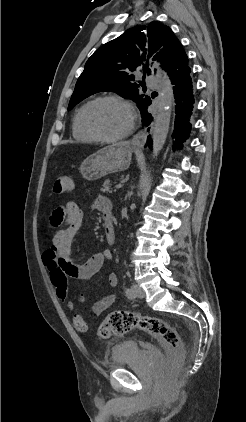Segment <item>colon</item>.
<instances>
[{"mask_svg":"<svg viewBox=\"0 0 246 422\" xmlns=\"http://www.w3.org/2000/svg\"><path fill=\"white\" fill-rule=\"evenodd\" d=\"M73 188V180L69 174L63 173L56 177L53 184V191L57 194L68 193ZM51 282L56 289L57 296L64 300L67 298V272L62 262L53 257L48 263ZM83 301V296L79 298ZM73 324L80 332H87L88 326L78 314L73 315ZM139 329L154 336L168 351L173 366L183 363L185 351L183 343L176 329L167 321L152 316H142L129 311H114L110 313L98 328V335L101 338L121 336L131 330Z\"/></svg>","mask_w":246,"mask_h":422,"instance_id":"1","label":"colon"}]
</instances>
